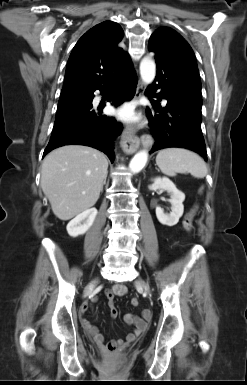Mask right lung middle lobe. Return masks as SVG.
I'll use <instances>...</instances> for the list:
<instances>
[{
  "mask_svg": "<svg viewBox=\"0 0 247 385\" xmlns=\"http://www.w3.org/2000/svg\"><path fill=\"white\" fill-rule=\"evenodd\" d=\"M91 91L87 90H67L63 91L60 94V99L58 102V110L65 108L79 100L89 98Z\"/></svg>",
  "mask_w": 247,
  "mask_h": 385,
  "instance_id": "obj_1",
  "label": "right lung middle lobe"
}]
</instances>
